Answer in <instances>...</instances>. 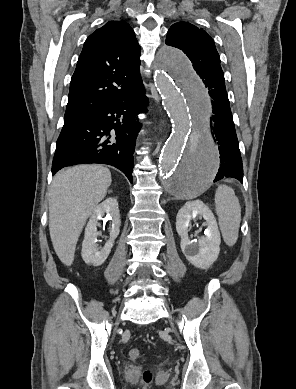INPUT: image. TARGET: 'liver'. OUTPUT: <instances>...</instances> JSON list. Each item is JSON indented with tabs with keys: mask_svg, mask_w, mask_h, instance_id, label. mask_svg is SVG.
<instances>
[{
	"mask_svg": "<svg viewBox=\"0 0 296 389\" xmlns=\"http://www.w3.org/2000/svg\"><path fill=\"white\" fill-rule=\"evenodd\" d=\"M110 185V170L101 165H78L55 175L49 191V231L64 265L73 263L81 231Z\"/></svg>",
	"mask_w": 296,
	"mask_h": 389,
	"instance_id": "6515ba94",
	"label": "liver"
}]
</instances>
